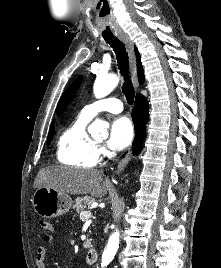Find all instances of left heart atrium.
I'll return each mask as SVG.
<instances>
[{"mask_svg": "<svg viewBox=\"0 0 221 268\" xmlns=\"http://www.w3.org/2000/svg\"><path fill=\"white\" fill-rule=\"evenodd\" d=\"M133 139V127L127 117L114 119L110 126V135L107 141L109 148L122 150L126 148Z\"/></svg>", "mask_w": 221, "mask_h": 268, "instance_id": "39dd6f15", "label": "left heart atrium"}]
</instances>
